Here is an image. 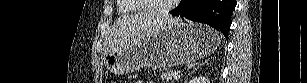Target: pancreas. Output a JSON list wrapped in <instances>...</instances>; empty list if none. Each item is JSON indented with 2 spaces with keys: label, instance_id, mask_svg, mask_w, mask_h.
I'll return each instance as SVG.
<instances>
[{
  "label": "pancreas",
  "instance_id": "obj_1",
  "mask_svg": "<svg viewBox=\"0 0 307 83\" xmlns=\"http://www.w3.org/2000/svg\"><path fill=\"white\" fill-rule=\"evenodd\" d=\"M173 75H174L173 71L171 70L165 71V72H162V74L160 75V78L166 81H173Z\"/></svg>",
  "mask_w": 307,
  "mask_h": 83
}]
</instances>
